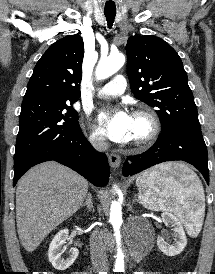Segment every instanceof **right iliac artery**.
<instances>
[{"mask_svg": "<svg viewBox=\"0 0 215 274\" xmlns=\"http://www.w3.org/2000/svg\"><path fill=\"white\" fill-rule=\"evenodd\" d=\"M99 274H106L105 272H99Z\"/></svg>", "mask_w": 215, "mask_h": 274, "instance_id": "right-iliac-artery-1", "label": "right iliac artery"}]
</instances>
